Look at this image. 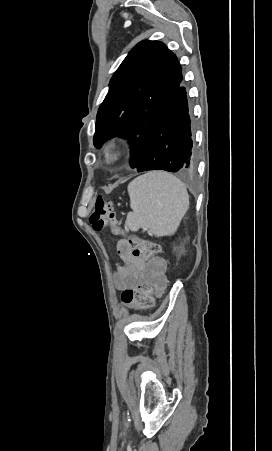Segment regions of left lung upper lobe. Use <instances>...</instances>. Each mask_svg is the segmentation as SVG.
Wrapping results in <instances>:
<instances>
[{"label": "left lung upper lobe", "mask_w": 272, "mask_h": 451, "mask_svg": "<svg viewBox=\"0 0 272 451\" xmlns=\"http://www.w3.org/2000/svg\"><path fill=\"white\" fill-rule=\"evenodd\" d=\"M182 80L175 54L162 42L138 43L110 81L97 113L94 146L100 148L115 136L129 139L134 155L130 165L137 168L161 111Z\"/></svg>", "instance_id": "left-lung-upper-lobe-1"}]
</instances>
